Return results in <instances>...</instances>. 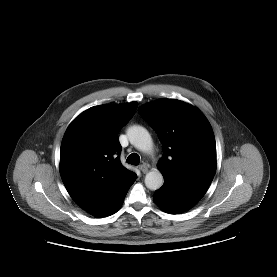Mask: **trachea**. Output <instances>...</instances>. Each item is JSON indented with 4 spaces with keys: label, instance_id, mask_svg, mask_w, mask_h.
Listing matches in <instances>:
<instances>
[{
    "label": "trachea",
    "instance_id": "obj_1",
    "mask_svg": "<svg viewBox=\"0 0 277 277\" xmlns=\"http://www.w3.org/2000/svg\"><path fill=\"white\" fill-rule=\"evenodd\" d=\"M126 162L131 165H138L140 163V157L138 154L132 153L128 156Z\"/></svg>",
    "mask_w": 277,
    "mask_h": 277
}]
</instances>
